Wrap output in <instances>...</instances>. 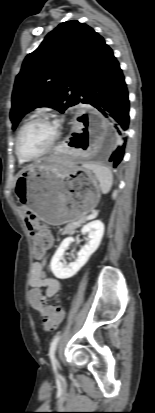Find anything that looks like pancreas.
<instances>
[{
  "instance_id": "1",
  "label": "pancreas",
  "mask_w": 155,
  "mask_h": 413,
  "mask_svg": "<svg viewBox=\"0 0 155 413\" xmlns=\"http://www.w3.org/2000/svg\"><path fill=\"white\" fill-rule=\"evenodd\" d=\"M81 223H82V221H78V222H76V223H70V224L66 225V226L62 229V234H67V233L71 232V231L74 230L75 228L79 227Z\"/></svg>"
}]
</instances>
